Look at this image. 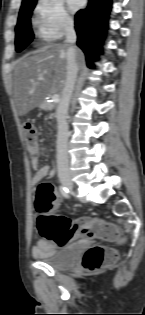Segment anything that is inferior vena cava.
<instances>
[{
  "mask_svg": "<svg viewBox=\"0 0 145 315\" xmlns=\"http://www.w3.org/2000/svg\"><path fill=\"white\" fill-rule=\"evenodd\" d=\"M76 39L77 36L74 24L68 23L66 26V43L73 45L75 44ZM66 60V79L61 94V100L57 108V172L58 177L61 180L71 178L68 157L69 131L66 119L78 72V64L76 61V52L74 47H68L66 50Z\"/></svg>",
  "mask_w": 145,
  "mask_h": 315,
  "instance_id": "602c4592",
  "label": "inferior vena cava"
}]
</instances>
